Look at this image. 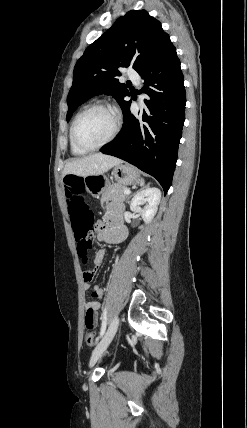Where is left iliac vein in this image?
Returning a JSON list of instances; mask_svg holds the SVG:
<instances>
[{"mask_svg":"<svg viewBox=\"0 0 247 428\" xmlns=\"http://www.w3.org/2000/svg\"><path fill=\"white\" fill-rule=\"evenodd\" d=\"M118 326H119V318L118 316H115L111 321L106 333L104 334V336L102 337V339L100 340V342L92 352V356L89 363L90 367L95 365L97 360L100 358L103 352L107 349V347L109 346V344L111 343L112 339L114 338L117 332Z\"/></svg>","mask_w":247,"mask_h":428,"instance_id":"left-iliac-vein-1","label":"left iliac vein"}]
</instances>
